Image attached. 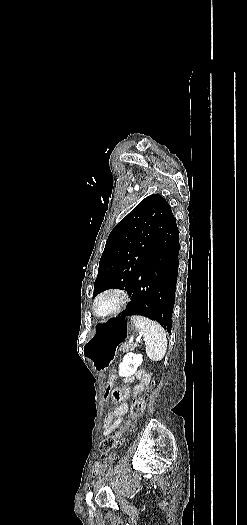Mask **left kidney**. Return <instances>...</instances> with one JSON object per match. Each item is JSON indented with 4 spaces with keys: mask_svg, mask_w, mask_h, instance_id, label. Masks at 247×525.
Instances as JSON below:
<instances>
[{
    "mask_svg": "<svg viewBox=\"0 0 247 525\" xmlns=\"http://www.w3.org/2000/svg\"><path fill=\"white\" fill-rule=\"evenodd\" d=\"M142 355H135V353H127L123 359V363L119 365L120 375H126V377H131L136 373L138 367L142 363Z\"/></svg>",
    "mask_w": 247,
    "mask_h": 525,
    "instance_id": "obj_1",
    "label": "left kidney"
}]
</instances>
